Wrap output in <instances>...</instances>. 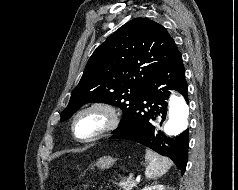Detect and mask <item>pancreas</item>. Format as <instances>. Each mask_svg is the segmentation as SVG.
Wrapping results in <instances>:
<instances>
[{
    "label": "pancreas",
    "instance_id": "pancreas-1",
    "mask_svg": "<svg viewBox=\"0 0 238 190\" xmlns=\"http://www.w3.org/2000/svg\"><path fill=\"white\" fill-rule=\"evenodd\" d=\"M136 185L137 181L130 176L127 179H122L119 183L120 190H132Z\"/></svg>",
    "mask_w": 238,
    "mask_h": 190
}]
</instances>
